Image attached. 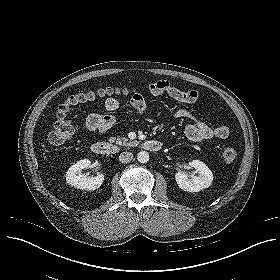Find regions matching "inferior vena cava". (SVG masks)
Masks as SVG:
<instances>
[{"label":"inferior vena cava","instance_id":"602c4592","mask_svg":"<svg viewBox=\"0 0 280 280\" xmlns=\"http://www.w3.org/2000/svg\"><path fill=\"white\" fill-rule=\"evenodd\" d=\"M133 159V154L131 152H122L119 155V161L121 163H129Z\"/></svg>","mask_w":280,"mask_h":280}]
</instances>
